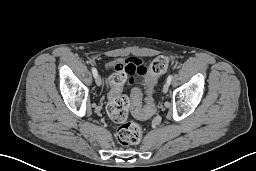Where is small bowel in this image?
Listing matches in <instances>:
<instances>
[{
    "mask_svg": "<svg viewBox=\"0 0 256 171\" xmlns=\"http://www.w3.org/2000/svg\"><path fill=\"white\" fill-rule=\"evenodd\" d=\"M112 66L116 71H122L125 76V81H132L135 75L144 76L148 73V69L144 61L138 57L130 56L123 60L115 61ZM145 115L141 119H146L150 116Z\"/></svg>",
    "mask_w": 256,
    "mask_h": 171,
    "instance_id": "c3829d8e",
    "label": "small bowel"
}]
</instances>
